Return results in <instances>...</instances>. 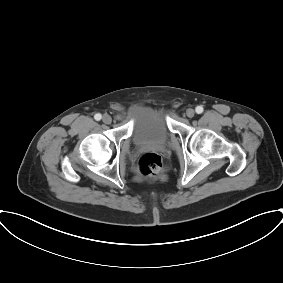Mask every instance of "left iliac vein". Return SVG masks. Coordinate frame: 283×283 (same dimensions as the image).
Here are the masks:
<instances>
[{"label":"left iliac vein","instance_id":"obj_1","mask_svg":"<svg viewBox=\"0 0 283 283\" xmlns=\"http://www.w3.org/2000/svg\"><path fill=\"white\" fill-rule=\"evenodd\" d=\"M186 115H187V117H189V118L194 117V115H195L194 109H192V108L187 109V110H186Z\"/></svg>","mask_w":283,"mask_h":283}]
</instances>
